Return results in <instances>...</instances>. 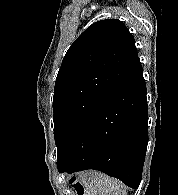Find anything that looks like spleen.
<instances>
[{
	"label": "spleen",
	"mask_w": 178,
	"mask_h": 195,
	"mask_svg": "<svg viewBox=\"0 0 178 195\" xmlns=\"http://www.w3.org/2000/svg\"><path fill=\"white\" fill-rule=\"evenodd\" d=\"M81 184L89 195H127L122 182L100 172L84 175L81 177Z\"/></svg>",
	"instance_id": "obj_1"
}]
</instances>
